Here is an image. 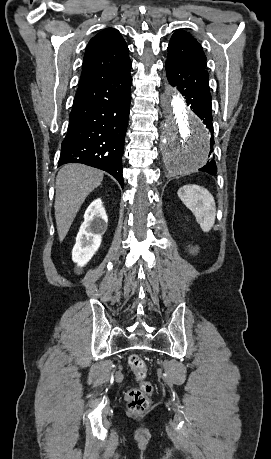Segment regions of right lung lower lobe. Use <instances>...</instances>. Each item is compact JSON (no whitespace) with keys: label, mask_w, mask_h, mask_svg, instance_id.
<instances>
[{"label":"right lung lower lobe","mask_w":271,"mask_h":459,"mask_svg":"<svg viewBox=\"0 0 271 459\" xmlns=\"http://www.w3.org/2000/svg\"><path fill=\"white\" fill-rule=\"evenodd\" d=\"M131 83L129 72L75 96L58 166L82 163L99 168L123 187L122 155Z\"/></svg>","instance_id":"98d812e1"}]
</instances>
